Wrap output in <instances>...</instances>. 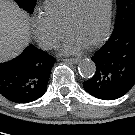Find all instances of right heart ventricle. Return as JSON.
<instances>
[{
    "instance_id": "obj_1",
    "label": "right heart ventricle",
    "mask_w": 135,
    "mask_h": 135,
    "mask_svg": "<svg viewBox=\"0 0 135 135\" xmlns=\"http://www.w3.org/2000/svg\"><path fill=\"white\" fill-rule=\"evenodd\" d=\"M77 1L78 0H47L44 5V14L58 27L64 28L65 22Z\"/></svg>"
}]
</instances>
